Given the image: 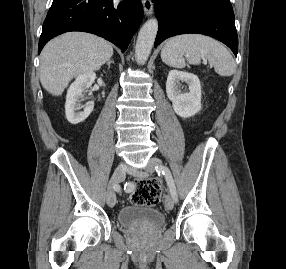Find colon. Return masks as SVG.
<instances>
[{
  "mask_svg": "<svg viewBox=\"0 0 286 269\" xmlns=\"http://www.w3.org/2000/svg\"><path fill=\"white\" fill-rule=\"evenodd\" d=\"M160 197L159 184L155 179H141L136 182V191L130 200L134 204L153 206L158 203Z\"/></svg>",
  "mask_w": 286,
  "mask_h": 269,
  "instance_id": "obj_1",
  "label": "colon"
}]
</instances>
